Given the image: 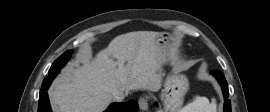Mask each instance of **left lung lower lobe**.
Here are the masks:
<instances>
[{"label": "left lung lower lobe", "instance_id": "1", "mask_svg": "<svg viewBox=\"0 0 270 112\" xmlns=\"http://www.w3.org/2000/svg\"><path fill=\"white\" fill-rule=\"evenodd\" d=\"M210 73L213 76H215V78L217 79V81L221 85V88H222V91L224 94V99H225L224 112H231V102L228 99V95H229L228 84H227V81L225 80L223 73L219 70L211 71Z\"/></svg>", "mask_w": 270, "mask_h": 112}]
</instances>
